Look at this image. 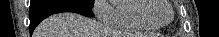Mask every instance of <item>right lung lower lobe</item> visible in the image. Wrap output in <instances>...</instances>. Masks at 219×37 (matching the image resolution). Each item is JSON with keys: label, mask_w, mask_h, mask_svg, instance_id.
I'll return each mask as SVG.
<instances>
[{"label": "right lung lower lobe", "mask_w": 219, "mask_h": 37, "mask_svg": "<svg viewBox=\"0 0 219 37\" xmlns=\"http://www.w3.org/2000/svg\"><path fill=\"white\" fill-rule=\"evenodd\" d=\"M60 12H75L91 17L92 7L85 6L77 1L69 0H41L30 5V33L46 17Z\"/></svg>", "instance_id": "1"}]
</instances>
